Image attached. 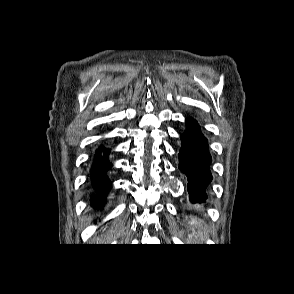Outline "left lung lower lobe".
Wrapping results in <instances>:
<instances>
[{
  "label": "left lung lower lobe",
  "instance_id": "obj_1",
  "mask_svg": "<svg viewBox=\"0 0 294 294\" xmlns=\"http://www.w3.org/2000/svg\"><path fill=\"white\" fill-rule=\"evenodd\" d=\"M187 132L181 135L182 148L179 152V169L188 177V192L193 203L203 202L206 187L212 180L209 170L211 156L206 138L200 133L198 123L187 118Z\"/></svg>",
  "mask_w": 294,
  "mask_h": 294
}]
</instances>
